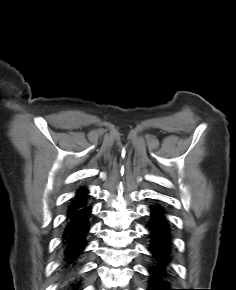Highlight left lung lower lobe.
I'll return each mask as SVG.
<instances>
[{
    "instance_id": "left-lung-lower-lobe-1",
    "label": "left lung lower lobe",
    "mask_w": 236,
    "mask_h": 290,
    "mask_svg": "<svg viewBox=\"0 0 236 290\" xmlns=\"http://www.w3.org/2000/svg\"><path fill=\"white\" fill-rule=\"evenodd\" d=\"M150 210L151 219L148 224L150 232L149 251L156 263L149 270V290H169V284L164 281V278L166 277L165 267L169 262L171 252L170 230L162 208L155 205L151 206Z\"/></svg>"
}]
</instances>
